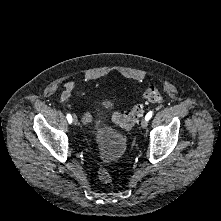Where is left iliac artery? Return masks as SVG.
<instances>
[{
	"label": "left iliac artery",
	"instance_id": "obj_1",
	"mask_svg": "<svg viewBox=\"0 0 221 221\" xmlns=\"http://www.w3.org/2000/svg\"><path fill=\"white\" fill-rule=\"evenodd\" d=\"M152 115H153V111L148 112L147 115L145 116V119L149 120L152 117Z\"/></svg>",
	"mask_w": 221,
	"mask_h": 221
}]
</instances>
